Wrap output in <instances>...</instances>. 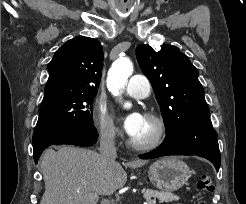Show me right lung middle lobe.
<instances>
[{"instance_id":"right-lung-middle-lobe-1","label":"right lung middle lobe","mask_w":246,"mask_h":204,"mask_svg":"<svg viewBox=\"0 0 246 204\" xmlns=\"http://www.w3.org/2000/svg\"><path fill=\"white\" fill-rule=\"evenodd\" d=\"M94 94L73 93L42 101L34 135L92 126Z\"/></svg>"}]
</instances>
